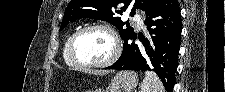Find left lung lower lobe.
<instances>
[{
  "label": "left lung lower lobe",
  "instance_id": "1",
  "mask_svg": "<svg viewBox=\"0 0 225 92\" xmlns=\"http://www.w3.org/2000/svg\"><path fill=\"white\" fill-rule=\"evenodd\" d=\"M146 16L144 23L149 35L139 37L143 45L128 43L129 39L135 40L136 35L125 40L120 58L106 69L154 71L166 90L172 92L182 31L178 2L163 0Z\"/></svg>",
  "mask_w": 225,
  "mask_h": 92
}]
</instances>
